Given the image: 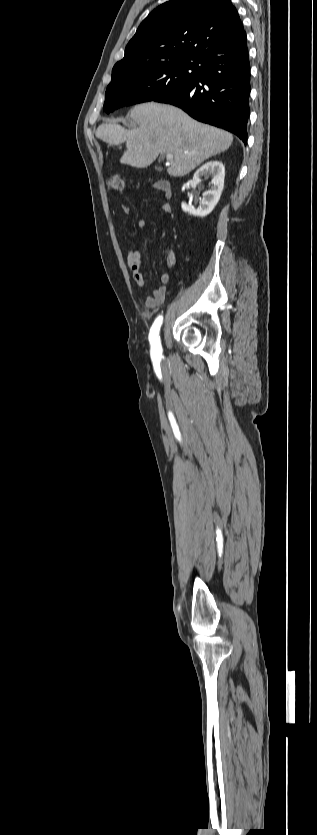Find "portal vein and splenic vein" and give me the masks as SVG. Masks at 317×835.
<instances>
[{
	"instance_id": "portal-vein-and-splenic-vein-1",
	"label": "portal vein and splenic vein",
	"mask_w": 317,
	"mask_h": 835,
	"mask_svg": "<svg viewBox=\"0 0 317 835\" xmlns=\"http://www.w3.org/2000/svg\"><path fill=\"white\" fill-rule=\"evenodd\" d=\"M172 157H173L172 154H170V153L167 154V160H170Z\"/></svg>"
}]
</instances>
